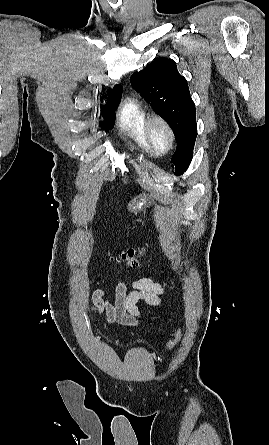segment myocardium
<instances>
[{
    "label": "myocardium",
    "mask_w": 269,
    "mask_h": 445,
    "mask_svg": "<svg viewBox=\"0 0 269 445\" xmlns=\"http://www.w3.org/2000/svg\"><path fill=\"white\" fill-rule=\"evenodd\" d=\"M156 126H160L161 128H163L164 131L168 135V140H169L168 146L164 150H160L156 146V144L153 140V131ZM145 138H146L147 144H148L149 148L151 149L152 153H154L157 156H165L169 152H171V150L174 148L175 140H176L173 127L164 117H162L160 115H154L152 117H149L148 120L146 121Z\"/></svg>",
    "instance_id": "obj_1"
}]
</instances>
